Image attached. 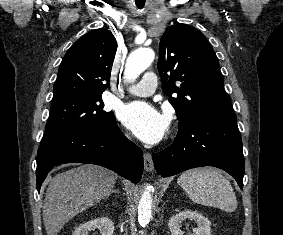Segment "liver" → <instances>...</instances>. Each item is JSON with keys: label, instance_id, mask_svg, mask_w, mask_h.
Instances as JSON below:
<instances>
[{"label": "liver", "instance_id": "obj_1", "mask_svg": "<svg viewBox=\"0 0 283 235\" xmlns=\"http://www.w3.org/2000/svg\"><path fill=\"white\" fill-rule=\"evenodd\" d=\"M117 175L100 166L80 165L50 180L43 204L47 235H57L77 214L109 196Z\"/></svg>", "mask_w": 283, "mask_h": 235}]
</instances>
